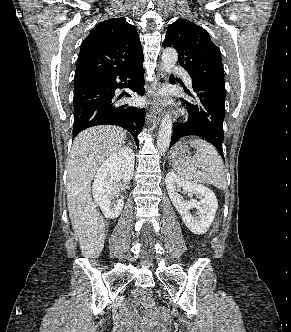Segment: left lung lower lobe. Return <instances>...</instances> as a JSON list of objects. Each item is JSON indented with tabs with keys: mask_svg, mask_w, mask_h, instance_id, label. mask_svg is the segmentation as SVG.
I'll return each mask as SVG.
<instances>
[{
	"mask_svg": "<svg viewBox=\"0 0 291 332\" xmlns=\"http://www.w3.org/2000/svg\"><path fill=\"white\" fill-rule=\"evenodd\" d=\"M172 83L174 81H171ZM191 100L181 101L189 107V121L176 123L170 147L180 138L195 135L204 138L218 149L224 160L223 121L225 116V83L209 79H193Z\"/></svg>",
	"mask_w": 291,
	"mask_h": 332,
	"instance_id": "obj_1",
	"label": "left lung lower lobe"
}]
</instances>
